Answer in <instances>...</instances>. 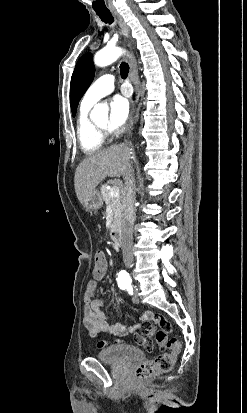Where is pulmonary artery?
Returning a JSON list of instances; mask_svg holds the SVG:
<instances>
[{
	"instance_id": "obj_1",
	"label": "pulmonary artery",
	"mask_w": 247,
	"mask_h": 413,
	"mask_svg": "<svg viewBox=\"0 0 247 413\" xmlns=\"http://www.w3.org/2000/svg\"><path fill=\"white\" fill-rule=\"evenodd\" d=\"M115 77L112 74H104L99 76L89 86L83 96L84 105H91L103 96L109 94L114 88Z\"/></svg>"
}]
</instances>
